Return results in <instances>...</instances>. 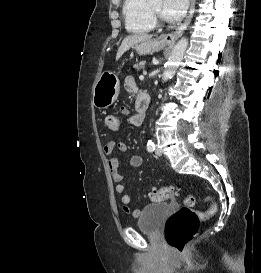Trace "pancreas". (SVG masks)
Here are the masks:
<instances>
[{"mask_svg": "<svg viewBox=\"0 0 261 273\" xmlns=\"http://www.w3.org/2000/svg\"><path fill=\"white\" fill-rule=\"evenodd\" d=\"M144 66H145V61H141V62L135 64L134 68L137 69V71H139V70L143 69Z\"/></svg>", "mask_w": 261, "mask_h": 273, "instance_id": "obj_1", "label": "pancreas"}]
</instances>
